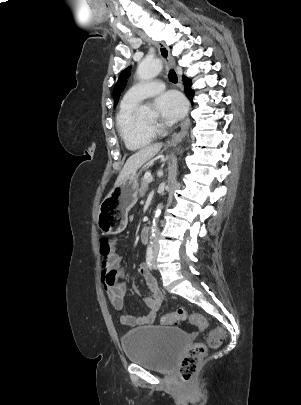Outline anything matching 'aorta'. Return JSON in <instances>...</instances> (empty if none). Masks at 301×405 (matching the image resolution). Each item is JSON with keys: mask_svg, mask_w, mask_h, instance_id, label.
Here are the masks:
<instances>
[{"mask_svg": "<svg viewBox=\"0 0 301 405\" xmlns=\"http://www.w3.org/2000/svg\"><path fill=\"white\" fill-rule=\"evenodd\" d=\"M162 70V62L157 59H144L142 60L137 67V76L141 80H149L157 76ZM145 108H141V111H144ZM163 208L162 204L157 206L155 215L153 218V223L151 227V236L150 240L155 237V232L157 230V220L161 214V209Z\"/></svg>", "mask_w": 301, "mask_h": 405, "instance_id": "obj_1", "label": "aorta"}]
</instances>
